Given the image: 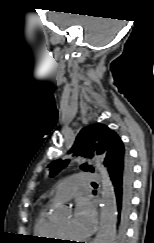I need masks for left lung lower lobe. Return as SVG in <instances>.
Returning <instances> with one entry per match:
<instances>
[{
    "mask_svg": "<svg viewBox=\"0 0 154 243\" xmlns=\"http://www.w3.org/2000/svg\"><path fill=\"white\" fill-rule=\"evenodd\" d=\"M104 163L111 177L115 195L117 215L115 242L124 243L133 192L132 164L127 152L124 157L119 154L115 157L106 158Z\"/></svg>",
    "mask_w": 154,
    "mask_h": 243,
    "instance_id": "obj_1",
    "label": "left lung lower lobe"
}]
</instances>
